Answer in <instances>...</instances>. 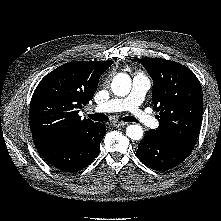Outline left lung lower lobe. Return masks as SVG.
<instances>
[{
  "mask_svg": "<svg viewBox=\"0 0 221 221\" xmlns=\"http://www.w3.org/2000/svg\"><path fill=\"white\" fill-rule=\"evenodd\" d=\"M191 150L161 141L148 131L138 145L137 156L149 168L157 171L171 169L184 161Z\"/></svg>",
  "mask_w": 221,
  "mask_h": 221,
  "instance_id": "0a47b994",
  "label": "left lung lower lobe"
}]
</instances>
